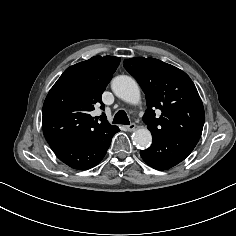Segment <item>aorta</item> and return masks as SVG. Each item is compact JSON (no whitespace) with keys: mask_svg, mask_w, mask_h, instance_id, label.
Wrapping results in <instances>:
<instances>
[{"mask_svg":"<svg viewBox=\"0 0 236 236\" xmlns=\"http://www.w3.org/2000/svg\"><path fill=\"white\" fill-rule=\"evenodd\" d=\"M111 88L114 94L125 102L138 104L140 89L137 82L130 76L120 75L112 80ZM134 143L140 148H147L152 142V136L147 128H140L132 135Z\"/></svg>","mask_w":236,"mask_h":236,"instance_id":"1","label":"aorta"}]
</instances>
